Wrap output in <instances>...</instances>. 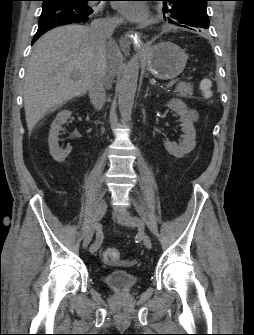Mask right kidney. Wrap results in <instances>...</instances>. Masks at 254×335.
Returning a JSON list of instances; mask_svg holds the SVG:
<instances>
[{
    "instance_id": "ca27d5eb",
    "label": "right kidney",
    "mask_w": 254,
    "mask_h": 335,
    "mask_svg": "<svg viewBox=\"0 0 254 335\" xmlns=\"http://www.w3.org/2000/svg\"><path fill=\"white\" fill-rule=\"evenodd\" d=\"M71 116V112L68 110H63L59 112L51 124L49 131L48 144L50 149V154L53 159L57 162H63L67 156L70 154L72 147L67 146L66 149L59 148L58 136L61 130V126L66 123L68 118Z\"/></svg>"
}]
</instances>
